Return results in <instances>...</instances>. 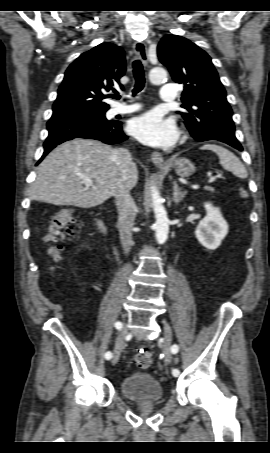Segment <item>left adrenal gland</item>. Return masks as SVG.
<instances>
[{
  "mask_svg": "<svg viewBox=\"0 0 270 453\" xmlns=\"http://www.w3.org/2000/svg\"><path fill=\"white\" fill-rule=\"evenodd\" d=\"M186 191H181L179 188L177 181H173V201L178 204L186 195Z\"/></svg>",
  "mask_w": 270,
  "mask_h": 453,
  "instance_id": "a2214340",
  "label": "left adrenal gland"
}]
</instances>
